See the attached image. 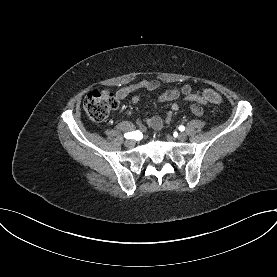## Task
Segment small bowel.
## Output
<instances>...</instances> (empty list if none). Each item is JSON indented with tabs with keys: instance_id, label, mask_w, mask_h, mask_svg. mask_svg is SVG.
<instances>
[{
	"instance_id": "obj_1",
	"label": "small bowel",
	"mask_w": 277,
	"mask_h": 277,
	"mask_svg": "<svg viewBox=\"0 0 277 277\" xmlns=\"http://www.w3.org/2000/svg\"><path fill=\"white\" fill-rule=\"evenodd\" d=\"M160 86V83L157 80H143L138 83H130L115 92V99L117 102L124 100L129 97L139 89H145L148 92L156 91ZM183 97V100L191 103L190 110L195 116L203 115V105H208L209 101L206 100L203 96L194 93L190 85H182L179 87H173L165 92L156 96L157 101L159 102H168L173 101L171 104L170 110L165 114L164 119L159 116H152L146 119L145 123L154 129L155 131H160L163 127L164 122L170 123L173 117L174 112L178 111L180 104L176 101L179 97ZM140 101L139 96H133L132 102L138 103ZM137 125L141 130H144V124L141 120H137ZM124 129H132L133 125L130 122H124L122 124Z\"/></svg>"
}]
</instances>
